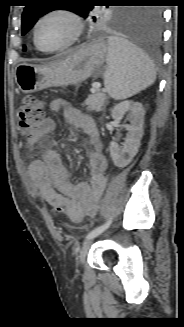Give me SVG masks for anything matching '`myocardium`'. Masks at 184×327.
Masks as SVG:
<instances>
[{
	"label": "myocardium",
	"mask_w": 184,
	"mask_h": 327,
	"mask_svg": "<svg viewBox=\"0 0 184 327\" xmlns=\"http://www.w3.org/2000/svg\"><path fill=\"white\" fill-rule=\"evenodd\" d=\"M53 15H62V16L67 17L72 22L73 34H72L71 38L63 45L49 49V48H44L39 44L38 39H37V31H38L39 25L46 18L53 16ZM83 32H84L83 21L76 12H74L73 10L68 9V8H54V9H51V10L45 12L36 20V22L33 26V41H34L35 46L40 51L45 52V53H54V52L63 51L65 49L73 46L76 42L79 41V39L83 35Z\"/></svg>",
	"instance_id": "myocardium-1"
}]
</instances>
